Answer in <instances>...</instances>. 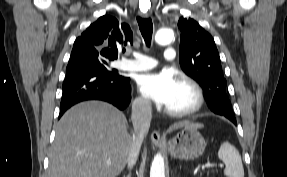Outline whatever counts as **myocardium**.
<instances>
[{"label": "myocardium", "instance_id": "f54148a6", "mask_svg": "<svg viewBox=\"0 0 287 177\" xmlns=\"http://www.w3.org/2000/svg\"><path fill=\"white\" fill-rule=\"evenodd\" d=\"M178 83L190 90L193 97V103L189 107L182 109H170L166 107L164 109L165 113L173 117H182L192 115L199 111L205 101L204 92L201 86L195 80L187 76L180 77Z\"/></svg>", "mask_w": 287, "mask_h": 177}]
</instances>
